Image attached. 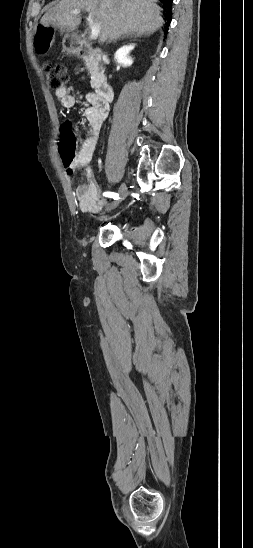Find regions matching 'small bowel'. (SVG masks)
Wrapping results in <instances>:
<instances>
[{
  "label": "small bowel",
  "mask_w": 253,
  "mask_h": 548,
  "mask_svg": "<svg viewBox=\"0 0 253 548\" xmlns=\"http://www.w3.org/2000/svg\"><path fill=\"white\" fill-rule=\"evenodd\" d=\"M55 96L65 109H70L76 102V96L69 93L67 88L55 90ZM89 107L85 110L88 133L83 144L73 160L66 164L68 171L76 167H83L86 183L76 189V199L80 211L88 214H97L101 211L106 200L101 196V189L95 180V171L89 165L95 151L102 124L109 113V103L94 93L87 95Z\"/></svg>",
  "instance_id": "obj_1"
}]
</instances>
